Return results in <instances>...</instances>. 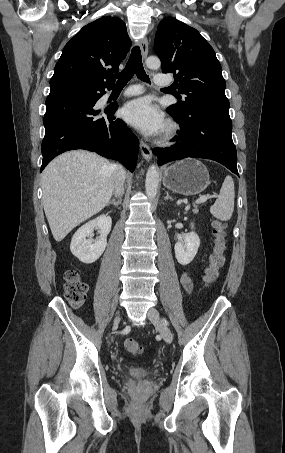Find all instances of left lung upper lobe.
I'll list each match as a JSON object with an SVG mask.
<instances>
[{"instance_id": "left-lung-upper-lobe-1", "label": "left lung upper lobe", "mask_w": 285, "mask_h": 453, "mask_svg": "<svg viewBox=\"0 0 285 453\" xmlns=\"http://www.w3.org/2000/svg\"><path fill=\"white\" fill-rule=\"evenodd\" d=\"M154 51L163 72L174 75L175 89L184 94L169 111L177 115L199 109L229 113L221 65L196 29L175 18H164L158 25Z\"/></svg>"}]
</instances>
